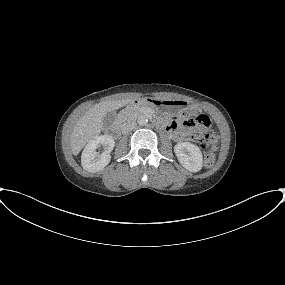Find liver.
Returning <instances> with one entry per match:
<instances>
[{"mask_svg":"<svg viewBox=\"0 0 285 285\" xmlns=\"http://www.w3.org/2000/svg\"><path fill=\"white\" fill-rule=\"evenodd\" d=\"M130 102H132L131 99L105 101L89 109L76 123L70 136L73 154L78 155L86 143L101 133L103 118L107 112L117 110Z\"/></svg>","mask_w":285,"mask_h":285,"instance_id":"1","label":"liver"}]
</instances>
